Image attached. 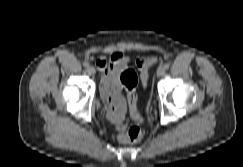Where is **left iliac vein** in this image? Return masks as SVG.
I'll return each instance as SVG.
<instances>
[{
    "label": "left iliac vein",
    "instance_id": "1",
    "mask_svg": "<svg viewBox=\"0 0 243 167\" xmlns=\"http://www.w3.org/2000/svg\"><path fill=\"white\" fill-rule=\"evenodd\" d=\"M165 74V68L163 66H159L157 69V75L163 76Z\"/></svg>",
    "mask_w": 243,
    "mask_h": 167
}]
</instances>
